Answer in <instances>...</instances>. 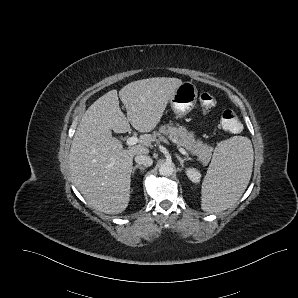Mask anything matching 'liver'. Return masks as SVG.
Instances as JSON below:
<instances>
[{"label":"liver","instance_id":"1","mask_svg":"<svg viewBox=\"0 0 298 298\" xmlns=\"http://www.w3.org/2000/svg\"><path fill=\"white\" fill-rule=\"evenodd\" d=\"M182 83L175 77L133 81L119 93L108 91L86 110L72 140L69 168L75 186L91 206L105 214H119L127 208L133 157L149 154L155 137L141 136L139 144L124 149L112 131L127 133L131 126L141 133L154 130Z\"/></svg>","mask_w":298,"mask_h":298}]
</instances>
